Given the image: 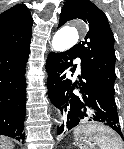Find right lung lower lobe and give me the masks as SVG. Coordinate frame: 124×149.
<instances>
[{"label": "right lung lower lobe", "mask_w": 124, "mask_h": 149, "mask_svg": "<svg viewBox=\"0 0 124 149\" xmlns=\"http://www.w3.org/2000/svg\"><path fill=\"white\" fill-rule=\"evenodd\" d=\"M29 45L0 50V135L24 140Z\"/></svg>", "instance_id": "98d812e1"}]
</instances>
